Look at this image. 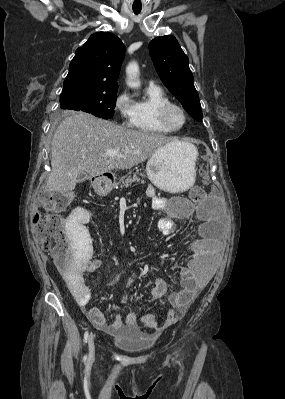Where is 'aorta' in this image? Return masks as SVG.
Masks as SVG:
<instances>
[{
	"instance_id": "1",
	"label": "aorta",
	"mask_w": 285,
	"mask_h": 399,
	"mask_svg": "<svg viewBox=\"0 0 285 399\" xmlns=\"http://www.w3.org/2000/svg\"><path fill=\"white\" fill-rule=\"evenodd\" d=\"M126 75H127V85L130 88H138L140 87L139 81V66L135 61L130 62L126 67Z\"/></svg>"
}]
</instances>
